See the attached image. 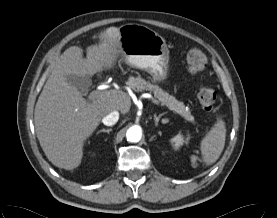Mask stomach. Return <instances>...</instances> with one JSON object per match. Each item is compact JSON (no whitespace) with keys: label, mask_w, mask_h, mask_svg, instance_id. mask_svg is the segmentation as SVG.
Listing matches in <instances>:
<instances>
[{"label":"stomach","mask_w":277,"mask_h":218,"mask_svg":"<svg viewBox=\"0 0 277 218\" xmlns=\"http://www.w3.org/2000/svg\"><path fill=\"white\" fill-rule=\"evenodd\" d=\"M120 56L125 62L147 71L153 82L167 79L169 50L165 39L147 26L128 23L119 28Z\"/></svg>","instance_id":"0dacf381"}]
</instances>
